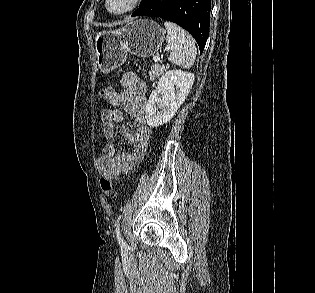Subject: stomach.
Listing matches in <instances>:
<instances>
[{
  "label": "stomach",
  "instance_id": "obj_1",
  "mask_svg": "<svg viewBox=\"0 0 315 293\" xmlns=\"http://www.w3.org/2000/svg\"><path fill=\"white\" fill-rule=\"evenodd\" d=\"M164 38V29L152 20H137L118 30L98 32L94 37L97 69L112 71L126 61L128 53L151 57L158 53Z\"/></svg>",
  "mask_w": 315,
  "mask_h": 293
}]
</instances>
